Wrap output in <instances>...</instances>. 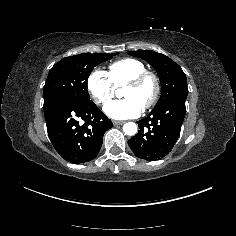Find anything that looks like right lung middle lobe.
<instances>
[{
  "mask_svg": "<svg viewBox=\"0 0 236 236\" xmlns=\"http://www.w3.org/2000/svg\"><path fill=\"white\" fill-rule=\"evenodd\" d=\"M114 55L116 53H83L60 60L50 69L43 87L44 104L56 98H67L78 103H89L87 80L91 71Z\"/></svg>",
  "mask_w": 236,
  "mask_h": 236,
  "instance_id": "1",
  "label": "right lung middle lobe"
}]
</instances>
